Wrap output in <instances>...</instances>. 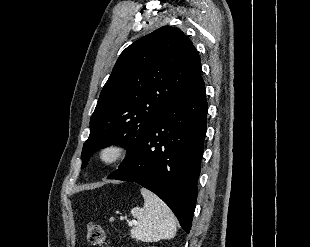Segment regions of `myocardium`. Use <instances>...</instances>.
<instances>
[{
  "mask_svg": "<svg viewBox=\"0 0 310 247\" xmlns=\"http://www.w3.org/2000/svg\"><path fill=\"white\" fill-rule=\"evenodd\" d=\"M128 152L127 144L122 141H112L105 144L99 151L98 158L107 166L115 165L122 161Z\"/></svg>",
  "mask_w": 310,
  "mask_h": 247,
  "instance_id": "myocardium-1",
  "label": "myocardium"
}]
</instances>
